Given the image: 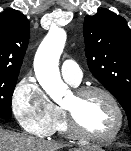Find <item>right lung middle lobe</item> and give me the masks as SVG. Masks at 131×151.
I'll use <instances>...</instances> for the list:
<instances>
[{
	"label": "right lung middle lobe",
	"mask_w": 131,
	"mask_h": 151,
	"mask_svg": "<svg viewBox=\"0 0 131 151\" xmlns=\"http://www.w3.org/2000/svg\"><path fill=\"white\" fill-rule=\"evenodd\" d=\"M19 72H0V118L11 117V100Z\"/></svg>",
	"instance_id": "dd1d6c3e"
}]
</instances>
